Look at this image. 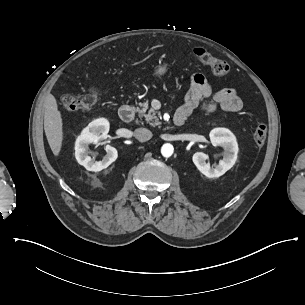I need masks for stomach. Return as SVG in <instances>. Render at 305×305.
Returning a JSON list of instances; mask_svg holds the SVG:
<instances>
[{"label":"stomach","instance_id":"0dacf381","mask_svg":"<svg viewBox=\"0 0 305 305\" xmlns=\"http://www.w3.org/2000/svg\"><path fill=\"white\" fill-rule=\"evenodd\" d=\"M167 71V65H159L156 67L155 75L161 76Z\"/></svg>","mask_w":305,"mask_h":305}]
</instances>
